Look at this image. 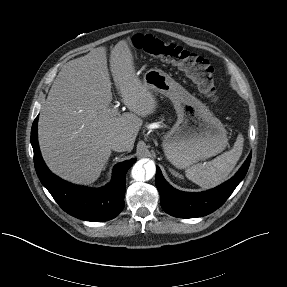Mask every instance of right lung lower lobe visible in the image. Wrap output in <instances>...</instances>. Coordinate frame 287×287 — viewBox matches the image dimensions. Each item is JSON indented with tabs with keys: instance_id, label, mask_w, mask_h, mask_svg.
I'll use <instances>...</instances> for the list:
<instances>
[{
	"instance_id": "right-lung-lower-lobe-1",
	"label": "right lung lower lobe",
	"mask_w": 287,
	"mask_h": 287,
	"mask_svg": "<svg viewBox=\"0 0 287 287\" xmlns=\"http://www.w3.org/2000/svg\"><path fill=\"white\" fill-rule=\"evenodd\" d=\"M37 121L38 117L31 129L36 173L59 206L68 214L86 221L100 222L115 218L124 208L125 176L136 159L117 164L111 182L102 188L68 183L51 173L45 165L38 146Z\"/></svg>"
}]
</instances>
